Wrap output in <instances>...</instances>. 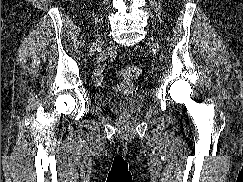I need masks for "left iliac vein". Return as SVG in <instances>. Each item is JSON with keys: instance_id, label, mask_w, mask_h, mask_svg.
<instances>
[{"instance_id": "1", "label": "left iliac vein", "mask_w": 243, "mask_h": 182, "mask_svg": "<svg viewBox=\"0 0 243 182\" xmlns=\"http://www.w3.org/2000/svg\"><path fill=\"white\" fill-rule=\"evenodd\" d=\"M152 45H153V47L155 48L156 51L160 50V47H159V45H158V43L156 41L153 40L152 41Z\"/></svg>"}]
</instances>
